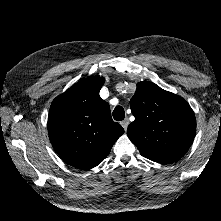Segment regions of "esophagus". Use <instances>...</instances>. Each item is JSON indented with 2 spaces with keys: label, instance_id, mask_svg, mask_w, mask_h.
Here are the masks:
<instances>
[{
  "label": "esophagus",
  "instance_id": "obj_1",
  "mask_svg": "<svg viewBox=\"0 0 221 221\" xmlns=\"http://www.w3.org/2000/svg\"><path fill=\"white\" fill-rule=\"evenodd\" d=\"M122 127L124 128V130L127 129L128 125H129V120L126 118L125 120H123L121 122Z\"/></svg>",
  "mask_w": 221,
  "mask_h": 221
}]
</instances>
